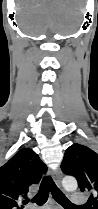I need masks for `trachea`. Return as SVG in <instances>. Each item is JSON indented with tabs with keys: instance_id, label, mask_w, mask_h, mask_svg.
I'll use <instances>...</instances> for the list:
<instances>
[{
	"instance_id": "obj_1",
	"label": "trachea",
	"mask_w": 98,
	"mask_h": 209,
	"mask_svg": "<svg viewBox=\"0 0 98 209\" xmlns=\"http://www.w3.org/2000/svg\"><path fill=\"white\" fill-rule=\"evenodd\" d=\"M49 192H51L53 198L63 207H75L60 191L50 176L43 178L39 191L32 199V202H36L38 205H43L48 199Z\"/></svg>"
}]
</instances>
